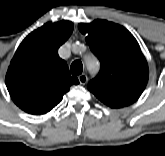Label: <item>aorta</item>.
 <instances>
[{"instance_id": "762f6f07", "label": "aorta", "mask_w": 165, "mask_h": 156, "mask_svg": "<svg viewBox=\"0 0 165 156\" xmlns=\"http://www.w3.org/2000/svg\"><path fill=\"white\" fill-rule=\"evenodd\" d=\"M81 48V45H77V44H75L74 46H73V49L74 50H79ZM87 64L88 65H95V63H94V61L92 60V59H87Z\"/></svg>"}]
</instances>
